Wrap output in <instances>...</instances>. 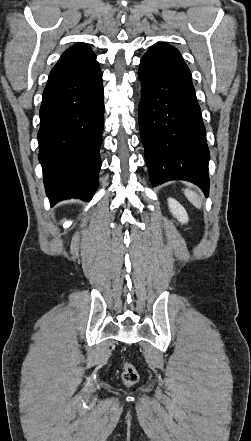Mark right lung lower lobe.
Returning <instances> with one entry per match:
<instances>
[{"label": "right lung lower lobe", "instance_id": "obj_1", "mask_svg": "<svg viewBox=\"0 0 251 441\" xmlns=\"http://www.w3.org/2000/svg\"><path fill=\"white\" fill-rule=\"evenodd\" d=\"M103 115L99 65L79 72L50 73L40 107L38 141L51 205L68 198H92L101 167Z\"/></svg>", "mask_w": 251, "mask_h": 441}]
</instances>
